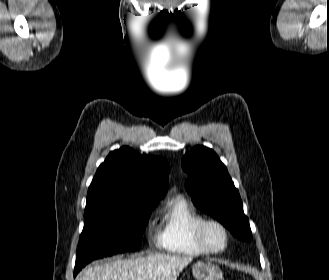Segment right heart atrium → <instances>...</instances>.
Masks as SVG:
<instances>
[{"instance_id":"obj_1","label":"right heart atrium","mask_w":329,"mask_h":280,"mask_svg":"<svg viewBox=\"0 0 329 280\" xmlns=\"http://www.w3.org/2000/svg\"><path fill=\"white\" fill-rule=\"evenodd\" d=\"M146 232H147V235H148L149 240L150 241H154L155 240V237L153 235L151 218H149L148 221H147V223H146ZM158 238H159V236H158Z\"/></svg>"}]
</instances>
